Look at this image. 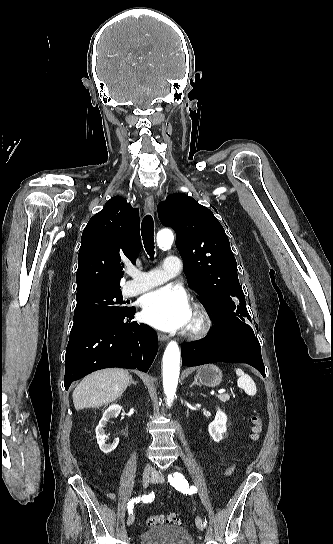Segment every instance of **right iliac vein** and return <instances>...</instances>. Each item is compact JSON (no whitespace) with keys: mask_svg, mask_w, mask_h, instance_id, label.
I'll return each instance as SVG.
<instances>
[{"mask_svg":"<svg viewBox=\"0 0 333 544\" xmlns=\"http://www.w3.org/2000/svg\"><path fill=\"white\" fill-rule=\"evenodd\" d=\"M151 480H152V472L149 470H145L143 473V479H142L143 487L147 488ZM134 520H135V515L134 513H132L129 515L127 519V525L131 526L134 523Z\"/></svg>","mask_w":333,"mask_h":544,"instance_id":"63e3f726","label":"right iliac vein"}]
</instances>
